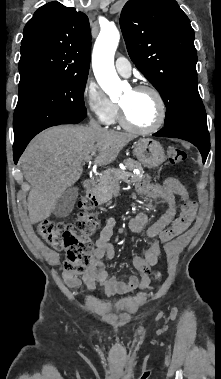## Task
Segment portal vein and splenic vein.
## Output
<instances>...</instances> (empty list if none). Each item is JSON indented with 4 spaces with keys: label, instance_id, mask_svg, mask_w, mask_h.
<instances>
[{
    "label": "portal vein and splenic vein",
    "instance_id": "18ae733b",
    "mask_svg": "<svg viewBox=\"0 0 221 379\" xmlns=\"http://www.w3.org/2000/svg\"><path fill=\"white\" fill-rule=\"evenodd\" d=\"M90 160H91V158H90V157H87V158H86V161H87V162H89Z\"/></svg>",
    "mask_w": 221,
    "mask_h": 379
}]
</instances>
